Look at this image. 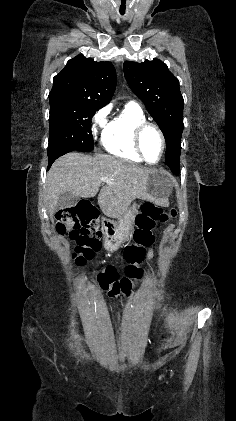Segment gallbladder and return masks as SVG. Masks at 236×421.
Here are the masks:
<instances>
[{"label": "gallbladder", "instance_id": "obj_1", "mask_svg": "<svg viewBox=\"0 0 236 421\" xmlns=\"http://www.w3.org/2000/svg\"><path fill=\"white\" fill-rule=\"evenodd\" d=\"M79 196L72 194V192H63L57 200L55 211H62V208H70L73 204H76Z\"/></svg>", "mask_w": 236, "mask_h": 421}]
</instances>
